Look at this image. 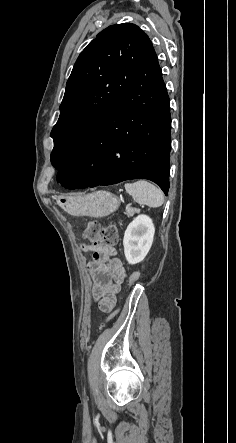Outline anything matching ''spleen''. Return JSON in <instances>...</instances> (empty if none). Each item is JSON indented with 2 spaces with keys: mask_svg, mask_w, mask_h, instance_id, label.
<instances>
[{
  "mask_svg": "<svg viewBox=\"0 0 236 443\" xmlns=\"http://www.w3.org/2000/svg\"><path fill=\"white\" fill-rule=\"evenodd\" d=\"M126 191L140 205H147L151 208H157L163 205V192L155 185L145 180H139L134 183L125 184Z\"/></svg>",
  "mask_w": 236,
  "mask_h": 443,
  "instance_id": "3e777b00",
  "label": "spleen"
}]
</instances>
